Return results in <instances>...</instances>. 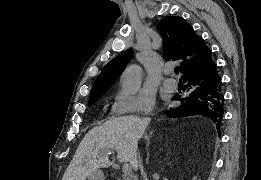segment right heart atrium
I'll list each match as a JSON object with an SVG mask.
<instances>
[{"instance_id":"right-heart-atrium-1","label":"right heart atrium","mask_w":261,"mask_h":180,"mask_svg":"<svg viewBox=\"0 0 261 180\" xmlns=\"http://www.w3.org/2000/svg\"><path fill=\"white\" fill-rule=\"evenodd\" d=\"M115 99L123 110L114 114H124V112L147 114L153 111L156 104L155 94L148 89H138L137 95H128L125 89H119L115 94Z\"/></svg>"}]
</instances>
